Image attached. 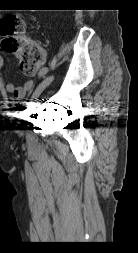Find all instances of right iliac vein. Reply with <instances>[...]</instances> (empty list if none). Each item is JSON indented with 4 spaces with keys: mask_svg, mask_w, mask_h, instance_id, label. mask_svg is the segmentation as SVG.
I'll list each match as a JSON object with an SVG mask.
<instances>
[{
    "mask_svg": "<svg viewBox=\"0 0 138 253\" xmlns=\"http://www.w3.org/2000/svg\"><path fill=\"white\" fill-rule=\"evenodd\" d=\"M54 76H49L46 79H44L36 88L33 95L30 96L31 102L30 105H33L34 99L38 98L39 95L44 91V89L49 86V84L53 81Z\"/></svg>",
    "mask_w": 138,
    "mask_h": 253,
    "instance_id": "63e3f726",
    "label": "right iliac vein"
}]
</instances>
